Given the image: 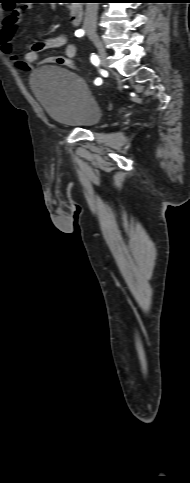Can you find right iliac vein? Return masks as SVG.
<instances>
[{
    "label": "right iliac vein",
    "instance_id": "right-iliac-vein-1",
    "mask_svg": "<svg viewBox=\"0 0 190 483\" xmlns=\"http://www.w3.org/2000/svg\"><path fill=\"white\" fill-rule=\"evenodd\" d=\"M90 39L94 42L100 57L102 67H107V53L95 30H88Z\"/></svg>",
    "mask_w": 190,
    "mask_h": 483
}]
</instances>
